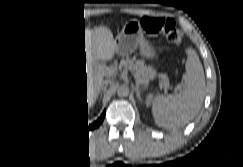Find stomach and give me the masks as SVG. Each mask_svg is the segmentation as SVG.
I'll return each mask as SVG.
<instances>
[{"label":"stomach","instance_id":"obj_1","mask_svg":"<svg viewBox=\"0 0 243 167\" xmlns=\"http://www.w3.org/2000/svg\"><path fill=\"white\" fill-rule=\"evenodd\" d=\"M116 39L118 42L115 44V50L118 55H129L139 47L142 57L146 59H157L158 57L156 49L145 40L139 21L126 22Z\"/></svg>","mask_w":243,"mask_h":167}]
</instances>
